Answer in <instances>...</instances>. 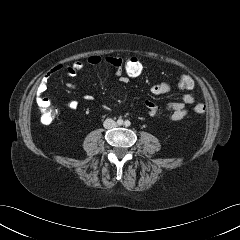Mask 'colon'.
I'll list each match as a JSON object with an SVG mask.
<instances>
[{"instance_id":"colon-1","label":"colon","mask_w":240,"mask_h":240,"mask_svg":"<svg viewBox=\"0 0 240 240\" xmlns=\"http://www.w3.org/2000/svg\"><path fill=\"white\" fill-rule=\"evenodd\" d=\"M121 70L128 78L140 77L144 72V64L137 56H131L121 61ZM194 80L189 75H182L177 81V88L183 91L193 89ZM206 110V106L202 103H196L193 111L202 114ZM56 117V111L50 107H41V122L48 125L53 122Z\"/></svg>"}]
</instances>
